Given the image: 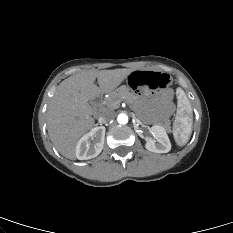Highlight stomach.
<instances>
[{
  "label": "stomach",
  "mask_w": 233,
  "mask_h": 233,
  "mask_svg": "<svg viewBox=\"0 0 233 233\" xmlns=\"http://www.w3.org/2000/svg\"><path fill=\"white\" fill-rule=\"evenodd\" d=\"M172 78L166 72L159 70H135L128 75L126 86L129 91L148 97L153 92L170 86Z\"/></svg>",
  "instance_id": "1"
}]
</instances>
